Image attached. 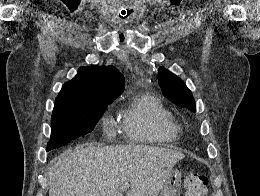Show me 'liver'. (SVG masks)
Returning <instances> with one entry per match:
<instances>
[{"instance_id": "1", "label": "liver", "mask_w": 260, "mask_h": 196, "mask_svg": "<svg viewBox=\"0 0 260 196\" xmlns=\"http://www.w3.org/2000/svg\"><path fill=\"white\" fill-rule=\"evenodd\" d=\"M182 152L153 146L80 144L52 160L49 196H159Z\"/></svg>"}]
</instances>
